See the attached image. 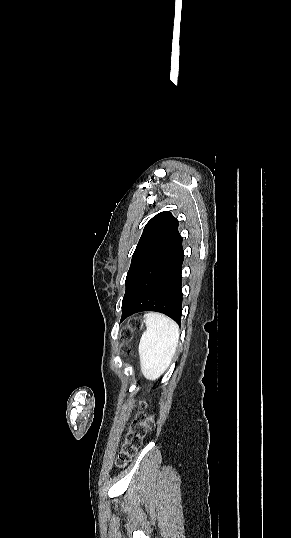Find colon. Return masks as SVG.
I'll return each mask as SVG.
<instances>
[{"instance_id": "obj_1", "label": "colon", "mask_w": 291, "mask_h": 538, "mask_svg": "<svg viewBox=\"0 0 291 538\" xmlns=\"http://www.w3.org/2000/svg\"><path fill=\"white\" fill-rule=\"evenodd\" d=\"M125 339L131 337V330L127 329L122 333ZM141 407L145 406L144 402L140 403ZM153 426V418L145 412H138L134 420L131 422L129 429L125 435L121 445L116 464L119 467H124L128 461L136 454L142 444L143 438Z\"/></svg>"}]
</instances>
